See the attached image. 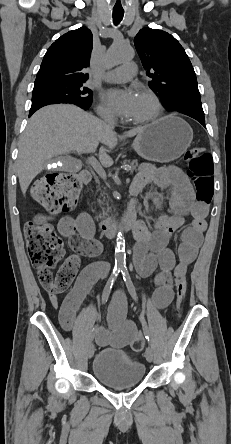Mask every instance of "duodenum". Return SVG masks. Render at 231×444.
<instances>
[{"label": "duodenum", "mask_w": 231, "mask_h": 444, "mask_svg": "<svg viewBox=\"0 0 231 444\" xmlns=\"http://www.w3.org/2000/svg\"><path fill=\"white\" fill-rule=\"evenodd\" d=\"M91 177V172L88 169H83L80 172V179L83 183H89ZM139 222L136 210L131 206L121 216L99 222L98 229L105 237L112 238L123 230L133 229L136 231Z\"/></svg>", "instance_id": "1"}]
</instances>
